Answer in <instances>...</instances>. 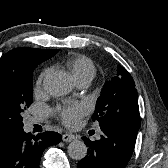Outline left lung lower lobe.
Returning a JSON list of instances; mask_svg holds the SVG:
<instances>
[{"label":"left lung lower lobe","mask_w":168,"mask_h":168,"mask_svg":"<svg viewBox=\"0 0 168 168\" xmlns=\"http://www.w3.org/2000/svg\"><path fill=\"white\" fill-rule=\"evenodd\" d=\"M100 140L90 141L83 137L87 145V155L78 162V168H125L136 142L138 131L121 124H107L101 127Z\"/></svg>","instance_id":"0a47b994"}]
</instances>
